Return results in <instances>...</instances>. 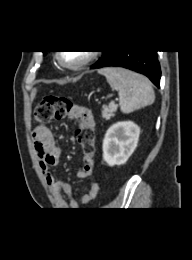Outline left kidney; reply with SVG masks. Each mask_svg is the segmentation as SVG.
<instances>
[{
  "label": "left kidney",
  "mask_w": 192,
  "mask_h": 260,
  "mask_svg": "<svg viewBox=\"0 0 192 260\" xmlns=\"http://www.w3.org/2000/svg\"><path fill=\"white\" fill-rule=\"evenodd\" d=\"M140 128L132 121L113 124L103 141V159L109 166L126 163L139 140Z\"/></svg>",
  "instance_id": "5707ae66"
}]
</instances>
